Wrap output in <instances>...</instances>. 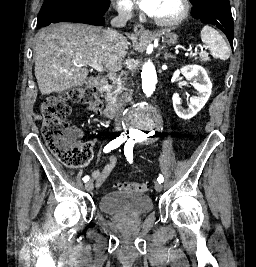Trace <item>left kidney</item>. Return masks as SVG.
<instances>
[{
  "label": "left kidney",
  "instance_id": "5707ae66",
  "mask_svg": "<svg viewBox=\"0 0 256 267\" xmlns=\"http://www.w3.org/2000/svg\"><path fill=\"white\" fill-rule=\"evenodd\" d=\"M180 72L183 74L184 78H186L187 82L197 90V96L190 98V106L188 110H184L181 106L182 100L179 94H173V108L179 118L190 120V118L196 116L197 112L205 106L208 98H210L212 84L210 78H208L206 70H204L202 66H196V64H192V66H183Z\"/></svg>",
  "mask_w": 256,
  "mask_h": 267
}]
</instances>
